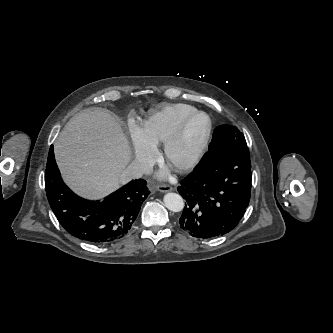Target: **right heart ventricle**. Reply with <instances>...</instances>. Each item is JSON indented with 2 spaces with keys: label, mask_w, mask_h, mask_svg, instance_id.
Instances as JSON below:
<instances>
[{
  "label": "right heart ventricle",
  "mask_w": 333,
  "mask_h": 333,
  "mask_svg": "<svg viewBox=\"0 0 333 333\" xmlns=\"http://www.w3.org/2000/svg\"><path fill=\"white\" fill-rule=\"evenodd\" d=\"M194 111L195 107L185 103L160 106L148 115L141 126L145 139L153 147L164 144L181 120Z\"/></svg>",
  "instance_id": "e07e8e85"
}]
</instances>
